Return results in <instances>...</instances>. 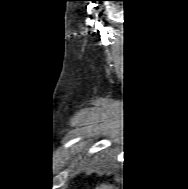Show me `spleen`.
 <instances>
[{
  "label": "spleen",
  "mask_w": 188,
  "mask_h": 189,
  "mask_svg": "<svg viewBox=\"0 0 188 189\" xmlns=\"http://www.w3.org/2000/svg\"><path fill=\"white\" fill-rule=\"evenodd\" d=\"M96 189H113V187L111 185H108V184H101Z\"/></svg>",
  "instance_id": "obj_1"
}]
</instances>
